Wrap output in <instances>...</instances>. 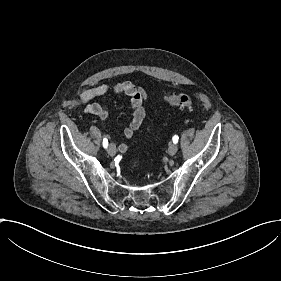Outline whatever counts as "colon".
Here are the masks:
<instances>
[{
    "label": "colon",
    "mask_w": 281,
    "mask_h": 281,
    "mask_svg": "<svg viewBox=\"0 0 281 281\" xmlns=\"http://www.w3.org/2000/svg\"><path fill=\"white\" fill-rule=\"evenodd\" d=\"M166 101L172 107L188 110L194 106L193 98L186 93H175L166 97Z\"/></svg>",
    "instance_id": "obj_1"
}]
</instances>
